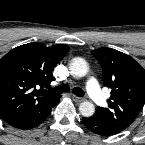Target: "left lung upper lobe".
<instances>
[{
    "label": "left lung upper lobe",
    "mask_w": 145,
    "mask_h": 145,
    "mask_svg": "<svg viewBox=\"0 0 145 145\" xmlns=\"http://www.w3.org/2000/svg\"><path fill=\"white\" fill-rule=\"evenodd\" d=\"M92 53L102 67L104 86L111 89L108 107H98L95 114L123 131L145 104V70L129 55L111 48H99Z\"/></svg>",
    "instance_id": "5c2ea615"
}]
</instances>
